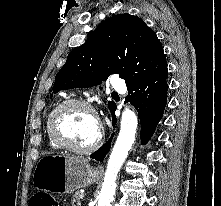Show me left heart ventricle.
<instances>
[{
  "mask_svg": "<svg viewBox=\"0 0 221 206\" xmlns=\"http://www.w3.org/2000/svg\"><path fill=\"white\" fill-rule=\"evenodd\" d=\"M55 126L59 135L75 147L91 145L98 134V122L91 111L71 106L58 114Z\"/></svg>",
  "mask_w": 221,
  "mask_h": 206,
  "instance_id": "left-heart-ventricle-1",
  "label": "left heart ventricle"
}]
</instances>
